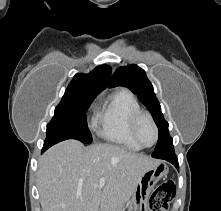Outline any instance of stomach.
<instances>
[{
  "label": "stomach",
  "instance_id": "1",
  "mask_svg": "<svg viewBox=\"0 0 221 211\" xmlns=\"http://www.w3.org/2000/svg\"><path fill=\"white\" fill-rule=\"evenodd\" d=\"M165 163L157 162L153 167L144 169L138 179L131 196L128 211H147V201L157 182L167 176Z\"/></svg>",
  "mask_w": 221,
  "mask_h": 211
}]
</instances>
